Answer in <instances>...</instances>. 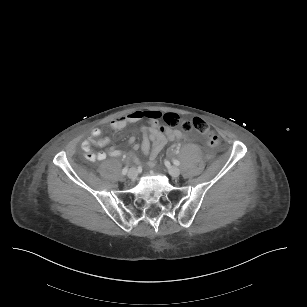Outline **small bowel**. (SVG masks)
<instances>
[{
    "label": "small bowel",
    "instance_id": "obj_1",
    "mask_svg": "<svg viewBox=\"0 0 307 307\" xmlns=\"http://www.w3.org/2000/svg\"><path fill=\"white\" fill-rule=\"evenodd\" d=\"M161 113L156 110H136L126 115L120 116L114 119L111 123V127L115 131L122 130L129 124L138 123L144 119L149 120V125H144L140 129L142 135V141L140 144L135 143V137L132 136L128 144L134 149L140 148L145 155H149L147 161L148 166H154L156 159L163 147L170 141L186 139L187 135L179 130H173L169 135H165L161 139H156L151 134V129L154 125L159 124ZM101 131L99 128H93L90 131L89 138L82 142V150L85 152V156L88 160H104L107 156L118 157L121 156V151L115 147L110 148L106 152H94L91 150V145H97L100 147L109 144V138H99ZM125 158L139 163V160L135 153H128Z\"/></svg>",
    "mask_w": 307,
    "mask_h": 307
}]
</instances>
